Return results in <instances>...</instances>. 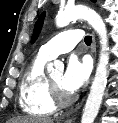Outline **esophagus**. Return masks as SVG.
Masks as SVG:
<instances>
[{"label": "esophagus", "instance_id": "34e87169", "mask_svg": "<svg viewBox=\"0 0 118 123\" xmlns=\"http://www.w3.org/2000/svg\"><path fill=\"white\" fill-rule=\"evenodd\" d=\"M92 53L95 59L96 56V41H95V36L93 35V40H92ZM67 123H72V120H68Z\"/></svg>", "mask_w": 118, "mask_h": 123}]
</instances>
